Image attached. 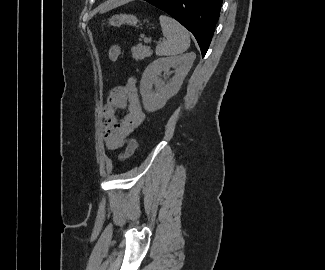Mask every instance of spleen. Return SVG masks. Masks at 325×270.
I'll list each match as a JSON object with an SVG mask.
<instances>
[{"instance_id":"obj_1","label":"spleen","mask_w":325,"mask_h":270,"mask_svg":"<svg viewBox=\"0 0 325 270\" xmlns=\"http://www.w3.org/2000/svg\"><path fill=\"white\" fill-rule=\"evenodd\" d=\"M165 41L157 45L158 56H175L184 53L190 46L188 31L175 19L166 15L159 17Z\"/></svg>"}]
</instances>
